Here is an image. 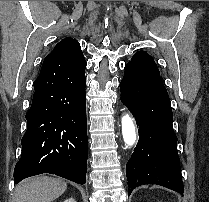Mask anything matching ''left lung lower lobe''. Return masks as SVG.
Here are the masks:
<instances>
[{"label": "left lung lower lobe", "mask_w": 209, "mask_h": 202, "mask_svg": "<svg viewBox=\"0 0 209 202\" xmlns=\"http://www.w3.org/2000/svg\"><path fill=\"white\" fill-rule=\"evenodd\" d=\"M121 101L139 126V141L126 164L128 195L142 184L183 193L173 114L160 75L127 63L120 83Z\"/></svg>", "instance_id": "obj_1"}]
</instances>
